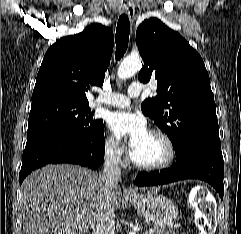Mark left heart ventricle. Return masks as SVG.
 Instances as JSON below:
<instances>
[{"label":"left heart ventricle","mask_w":241,"mask_h":234,"mask_svg":"<svg viewBox=\"0 0 241 234\" xmlns=\"http://www.w3.org/2000/svg\"><path fill=\"white\" fill-rule=\"evenodd\" d=\"M131 153L138 162L155 164L161 162L165 158L166 147L158 136L149 133Z\"/></svg>","instance_id":"b2bd125f"}]
</instances>
